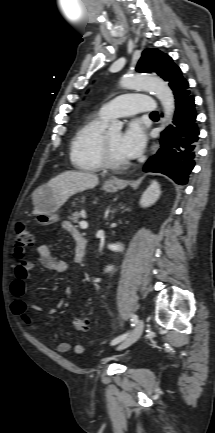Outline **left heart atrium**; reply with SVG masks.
Returning a JSON list of instances; mask_svg holds the SVG:
<instances>
[{
    "label": "left heart atrium",
    "mask_w": 215,
    "mask_h": 433,
    "mask_svg": "<svg viewBox=\"0 0 215 433\" xmlns=\"http://www.w3.org/2000/svg\"><path fill=\"white\" fill-rule=\"evenodd\" d=\"M145 141L146 136L141 125L138 122H132L121 134L118 148L127 159L134 158L141 153Z\"/></svg>",
    "instance_id": "39dd6f15"
}]
</instances>
